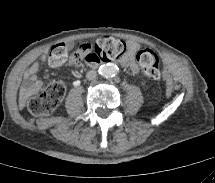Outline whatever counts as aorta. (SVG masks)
<instances>
[{
    "label": "aorta",
    "mask_w": 215,
    "mask_h": 183,
    "mask_svg": "<svg viewBox=\"0 0 215 183\" xmlns=\"http://www.w3.org/2000/svg\"><path fill=\"white\" fill-rule=\"evenodd\" d=\"M99 74L105 78H110L118 73V68L116 65L107 63L99 67Z\"/></svg>",
    "instance_id": "aorta-1"
}]
</instances>
